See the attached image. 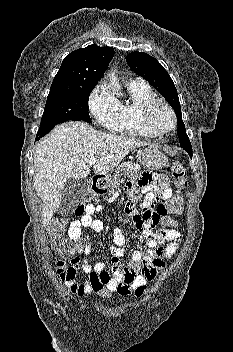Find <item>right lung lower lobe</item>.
Wrapping results in <instances>:
<instances>
[{
	"mask_svg": "<svg viewBox=\"0 0 233 352\" xmlns=\"http://www.w3.org/2000/svg\"><path fill=\"white\" fill-rule=\"evenodd\" d=\"M54 128V127H53ZM53 128H50L48 130H45L43 132H38L36 135L35 141L39 140L41 137L45 136L48 132H50Z\"/></svg>",
	"mask_w": 233,
	"mask_h": 352,
	"instance_id": "98d812e1",
	"label": "right lung lower lobe"
}]
</instances>
